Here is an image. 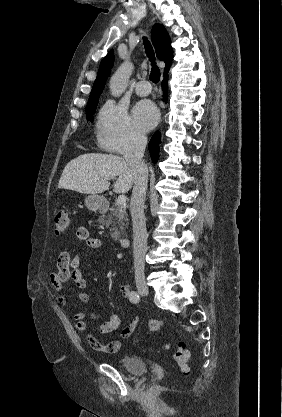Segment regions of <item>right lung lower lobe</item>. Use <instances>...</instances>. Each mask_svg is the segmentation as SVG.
I'll list each match as a JSON object with an SVG mask.
<instances>
[{"label":"right lung lower lobe","instance_id":"right-lung-lower-lobe-1","mask_svg":"<svg viewBox=\"0 0 282 417\" xmlns=\"http://www.w3.org/2000/svg\"><path fill=\"white\" fill-rule=\"evenodd\" d=\"M169 70H166L164 73V80L162 81V89L164 92V101H167V72ZM161 133L160 132H155L154 135L152 136L150 142H149V151H150V155H151V159L153 163H156L158 161L159 158V144L161 142Z\"/></svg>","mask_w":282,"mask_h":417}]
</instances>
